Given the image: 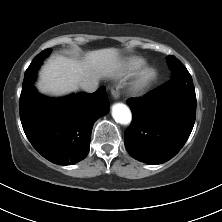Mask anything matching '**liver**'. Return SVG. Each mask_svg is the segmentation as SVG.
Returning <instances> with one entry per match:
<instances>
[{
	"instance_id": "1",
	"label": "liver",
	"mask_w": 222,
	"mask_h": 222,
	"mask_svg": "<svg viewBox=\"0 0 222 222\" xmlns=\"http://www.w3.org/2000/svg\"><path fill=\"white\" fill-rule=\"evenodd\" d=\"M119 66L115 48L88 51L81 59L56 55L42 67L36 86L42 94L61 96L76 91L83 81L111 76Z\"/></svg>"
}]
</instances>
